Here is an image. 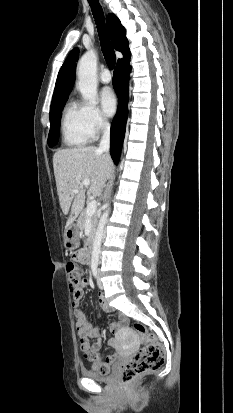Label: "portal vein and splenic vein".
I'll use <instances>...</instances> for the list:
<instances>
[{
  "label": "portal vein and splenic vein",
  "instance_id": "1",
  "mask_svg": "<svg viewBox=\"0 0 233 413\" xmlns=\"http://www.w3.org/2000/svg\"><path fill=\"white\" fill-rule=\"evenodd\" d=\"M89 185H90V180L86 179V180H83V181H82V183H81V185L79 186V188L88 187ZM79 188L75 189L74 192H75V193L78 192V189H79ZM96 209H97V201H96V200H92V201L87 205V208H86L87 216H88V217H91L92 215H94L95 212H96Z\"/></svg>",
  "mask_w": 233,
  "mask_h": 413
}]
</instances>
